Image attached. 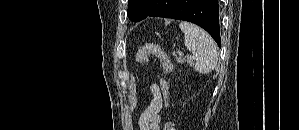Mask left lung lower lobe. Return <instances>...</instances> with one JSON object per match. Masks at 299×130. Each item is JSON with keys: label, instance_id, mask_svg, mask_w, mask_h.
Listing matches in <instances>:
<instances>
[{"label": "left lung lower lobe", "instance_id": "left-lung-lower-lobe-1", "mask_svg": "<svg viewBox=\"0 0 299 130\" xmlns=\"http://www.w3.org/2000/svg\"><path fill=\"white\" fill-rule=\"evenodd\" d=\"M148 16L195 23L205 29L221 47L218 0H149V9L142 19Z\"/></svg>", "mask_w": 299, "mask_h": 130}]
</instances>
